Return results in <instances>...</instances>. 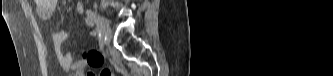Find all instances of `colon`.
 I'll return each mask as SVG.
<instances>
[{
	"label": "colon",
	"mask_w": 333,
	"mask_h": 76,
	"mask_svg": "<svg viewBox=\"0 0 333 76\" xmlns=\"http://www.w3.org/2000/svg\"><path fill=\"white\" fill-rule=\"evenodd\" d=\"M100 76H112V72L108 69H105L104 71H102L101 73H99ZM87 76H95V74L91 71H89L87 73Z\"/></svg>",
	"instance_id": "colon-1"
}]
</instances>
